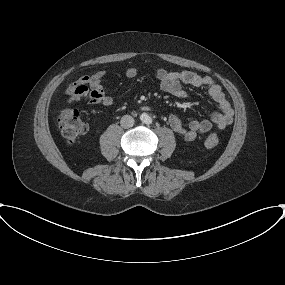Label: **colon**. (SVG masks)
I'll use <instances>...</instances> for the list:
<instances>
[{"label": "colon", "instance_id": "1", "mask_svg": "<svg viewBox=\"0 0 285 285\" xmlns=\"http://www.w3.org/2000/svg\"><path fill=\"white\" fill-rule=\"evenodd\" d=\"M57 123L63 138L69 144L75 143L88 131V126L78 111L72 108L61 110L57 116ZM219 144L220 139L214 133L208 135L205 139V145L209 148L217 147Z\"/></svg>", "mask_w": 285, "mask_h": 285}]
</instances>
